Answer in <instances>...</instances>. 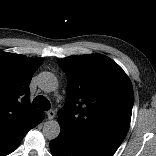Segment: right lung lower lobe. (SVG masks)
<instances>
[{
  "mask_svg": "<svg viewBox=\"0 0 156 156\" xmlns=\"http://www.w3.org/2000/svg\"><path fill=\"white\" fill-rule=\"evenodd\" d=\"M43 119V113L40 115V117L37 119V121L29 128L24 129L20 132L15 131L13 135H11V139L7 140L5 138L4 134L0 135V156H4L6 154L11 153L14 151L20 144L23 137L26 135V133L31 129L34 128L38 123H40Z\"/></svg>",
  "mask_w": 156,
  "mask_h": 156,
  "instance_id": "right-lung-lower-lobe-1",
  "label": "right lung lower lobe"
}]
</instances>
